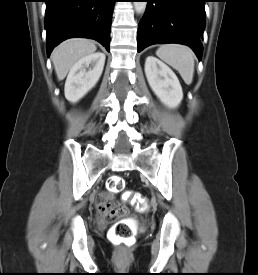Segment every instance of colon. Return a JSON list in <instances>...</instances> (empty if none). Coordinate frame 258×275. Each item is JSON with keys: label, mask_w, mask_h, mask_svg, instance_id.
<instances>
[{"label": "colon", "mask_w": 258, "mask_h": 275, "mask_svg": "<svg viewBox=\"0 0 258 275\" xmlns=\"http://www.w3.org/2000/svg\"><path fill=\"white\" fill-rule=\"evenodd\" d=\"M125 181L120 176H113L109 179L107 187L111 193H117L123 190ZM123 199L126 202H131L135 205L138 211L145 212L149 208L148 199L138 192L128 191L123 195ZM125 208L120 209H107L103 215L106 219H113L117 216L126 215ZM108 238L111 242L130 247L135 241L134 233L132 229L122 221H117L108 231Z\"/></svg>", "instance_id": "colon-1"}]
</instances>
